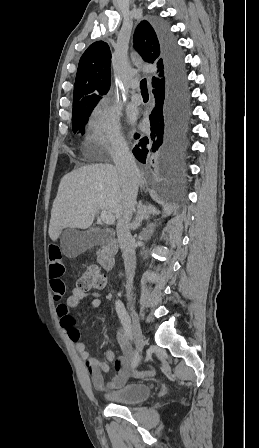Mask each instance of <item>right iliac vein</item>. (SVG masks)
<instances>
[{
    "mask_svg": "<svg viewBox=\"0 0 259 448\" xmlns=\"http://www.w3.org/2000/svg\"><path fill=\"white\" fill-rule=\"evenodd\" d=\"M129 307L131 310L132 330H133V337H134L136 349L139 353H141L144 348V338H143V334H142L140 323H139V316H138V313L136 312V309L132 302L129 303Z\"/></svg>",
    "mask_w": 259,
    "mask_h": 448,
    "instance_id": "63e3f726",
    "label": "right iliac vein"
}]
</instances>
